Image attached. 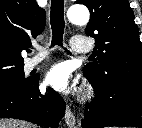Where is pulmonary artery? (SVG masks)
<instances>
[{
  "label": "pulmonary artery",
  "instance_id": "e3ab8cb5",
  "mask_svg": "<svg viewBox=\"0 0 142 128\" xmlns=\"http://www.w3.org/2000/svg\"><path fill=\"white\" fill-rule=\"evenodd\" d=\"M71 50L74 53L86 54L90 51L89 42L84 37L74 36L71 39ZM47 56L48 52L45 49H39L37 56L30 58L25 62V69L27 71L32 70L41 62H43L47 58Z\"/></svg>",
  "mask_w": 142,
  "mask_h": 128
}]
</instances>
